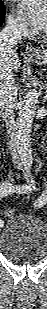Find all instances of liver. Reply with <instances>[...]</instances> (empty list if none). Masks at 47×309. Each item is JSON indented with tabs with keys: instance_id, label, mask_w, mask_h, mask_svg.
<instances>
[{
	"instance_id": "1",
	"label": "liver",
	"mask_w": 47,
	"mask_h": 309,
	"mask_svg": "<svg viewBox=\"0 0 47 309\" xmlns=\"http://www.w3.org/2000/svg\"><path fill=\"white\" fill-rule=\"evenodd\" d=\"M20 64L16 50L14 48L2 50L0 43V74L4 70L16 73L20 68Z\"/></svg>"
}]
</instances>
